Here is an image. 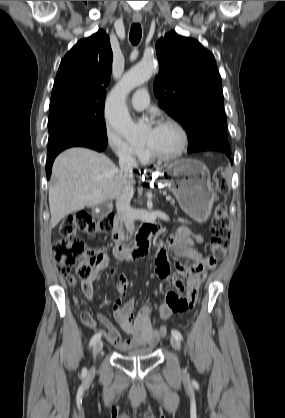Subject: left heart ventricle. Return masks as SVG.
Wrapping results in <instances>:
<instances>
[{
  "mask_svg": "<svg viewBox=\"0 0 285 418\" xmlns=\"http://www.w3.org/2000/svg\"><path fill=\"white\" fill-rule=\"evenodd\" d=\"M180 141V134L174 127L160 125L147 132L144 143L159 154L169 155L177 151Z\"/></svg>",
  "mask_w": 285,
  "mask_h": 418,
  "instance_id": "1",
  "label": "left heart ventricle"
}]
</instances>
